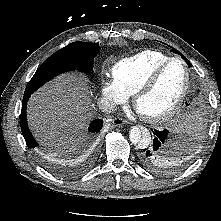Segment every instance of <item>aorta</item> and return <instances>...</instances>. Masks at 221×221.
I'll return each instance as SVG.
<instances>
[{"instance_id": "obj_1", "label": "aorta", "mask_w": 221, "mask_h": 221, "mask_svg": "<svg viewBox=\"0 0 221 221\" xmlns=\"http://www.w3.org/2000/svg\"><path fill=\"white\" fill-rule=\"evenodd\" d=\"M130 141L140 149H146L151 143V134L147 129L132 127L129 131Z\"/></svg>"}]
</instances>
